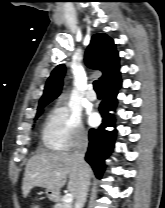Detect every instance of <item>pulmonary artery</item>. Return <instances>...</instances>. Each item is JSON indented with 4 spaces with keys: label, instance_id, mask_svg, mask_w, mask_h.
I'll list each match as a JSON object with an SVG mask.
<instances>
[{
    "label": "pulmonary artery",
    "instance_id": "obj_1",
    "mask_svg": "<svg viewBox=\"0 0 165 208\" xmlns=\"http://www.w3.org/2000/svg\"><path fill=\"white\" fill-rule=\"evenodd\" d=\"M86 98L89 101H95L96 100V95L93 91H91V88H89V90L87 91Z\"/></svg>",
    "mask_w": 165,
    "mask_h": 208
}]
</instances>
